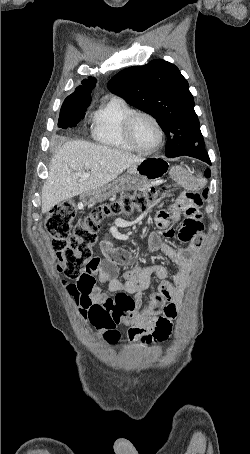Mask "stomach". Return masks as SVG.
<instances>
[{"label":"stomach","mask_w":250,"mask_h":454,"mask_svg":"<svg viewBox=\"0 0 250 454\" xmlns=\"http://www.w3.org/2000/svg\"><path fill=\"white\" fill-rule=\"evenodd\" d=\"M168 164L159 158L144 159L141 163L127 169V174L121 179L108 183L100 188L82 194L84 203L102 202L115 194L121 188H146L153 182L160 180Z\"/></svg>","instance_id":"0dacf381"}]
</instances>
